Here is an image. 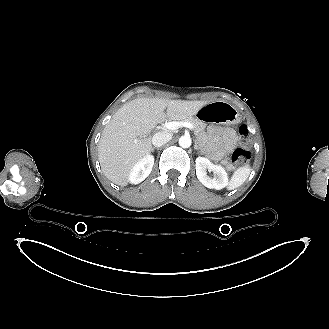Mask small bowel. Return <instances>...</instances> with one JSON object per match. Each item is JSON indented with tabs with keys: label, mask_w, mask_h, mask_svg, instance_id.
Segmentation results:
<instances>
[{
	"label": "small bowel",
	"mask_w": 329,
	"mask_h": 329,
	"mask_svg": "<svg viewBox=\"0 0 329 329\" xmlns=\"http://www.w3.org/2000/svg\"><path fill=\"white\" fill-rule=\"evenodd\" d=\"M211 149L220 158L231 152L237 145V135L233 128L211 126L209 128Z\"/></svg>",
	"instance_id": "c3829d8e"
}]
</instances>
